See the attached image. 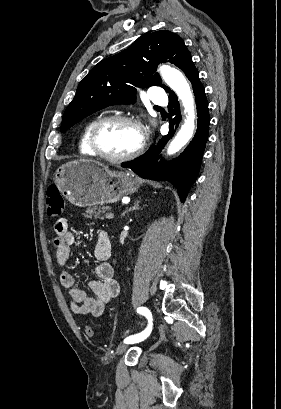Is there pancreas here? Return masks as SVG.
I'll return each instance as SVG.
<instances>
[{"mask_svg": "<svg viewBox=\"0 0 281 409\" xmlns=\"http://www.w3.org/2000/svg\"><path fill=\"white\" fill-rule=\"evenodd\" d=\"M105 211H108V207H102V209H95V207L92 209V207H89L86 211L85 217H87V219H92L94 215V219H103V217L106 216L103 215V217H100V213H105Z\"/></svg>", "mask_w": 281, "mask_h": 409, "instance_id": "obj_1", "label": "pancreas"}]
</instances>
